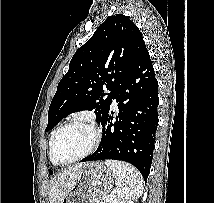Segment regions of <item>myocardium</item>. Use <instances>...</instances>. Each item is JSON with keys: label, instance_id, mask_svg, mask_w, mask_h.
<instances>
[{"label": "myocardium", "instance_id": "1", "mask_svg": "<svg viewBox=\"0 0 214 203\" xmlns=\"http://www.w3.org/2000/svg\"><path fill=\"white\" fill-rule=\"evenodd\" d=\"M73 125H86V126L90 127L94 132V140H93L91 146L89 147V149L87 151H85L83 154L79 155L78 157H76L72 160L66 161V162L58 161L55 157V147H56L58 137L66 128L73 126ZM101 138H102V130L96 122H94L92 120H87V119L71 120V121L63 124L62 126H60L58 128V130L55 132L53 139H52L51 148H50L51 159L57 165H69V164L78 162V161L88 157L89 155H91L97 149V147L99 146V144L101 142Z\"/></svg>", "mask_w": 214, "mask_h": 203}]
</instances>
